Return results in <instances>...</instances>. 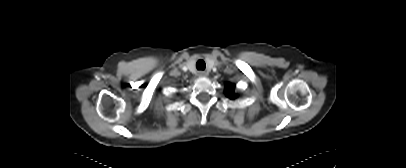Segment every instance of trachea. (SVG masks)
I'll use <instances>...</instances> for the list:
<instances>
[{
    "instance_id": "1",
    "label": "trachea",
    "mask_w": 406,
    "mask_h": 168,
    "mask_svg": "<svg viewBox=\"0 0 406 168\" xmlns=\"http://www.w3.org/2000/svg\"><path fill=\"white\" fill-rule=\"evenodd\" d=\"M196 67L198 70H204L206 67L205 62L203 60H198L196 63Z\"/></svg>"
}]
</instances>
